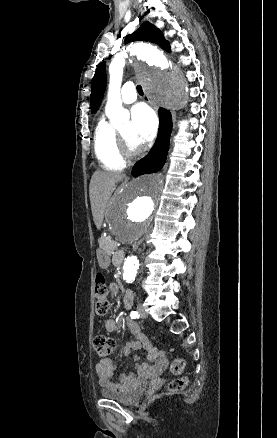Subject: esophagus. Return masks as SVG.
Here are the masks:
<instances>
[{
  "label": "esophagus",
  "instance_id": "1",
  "mask_svg": "<svg viewBox=\"0 0 277 438\" xmlns=\"http://www.w3.org/2000/svg\"><path fill=\"white\" fill-rule=\"evenodd\" d=\"M144 97H145V98H148V95L145 93V94H144Z\"/></svg>",
  "mask_w": 277,
  "mask_h": 438
}]
</instances>
